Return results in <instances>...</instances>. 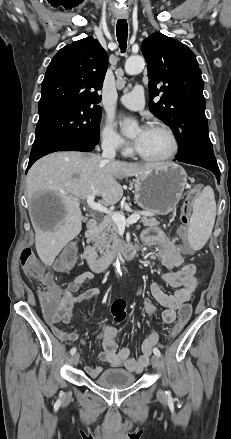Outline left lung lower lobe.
<instances>
[{"label": "left lung lower lobe", "instance_id": "1", "mask_svg": "<svg viewBox=\"0 0 231 439\" xmlns=\"http://www.w3.org/2000/svg\"><path fill=\"white\" fill-rule=\"evenodd\" d=\"M175 160L206 168L216 176L218 182L220 181V170L217 165L216 159H212L203 155L191 154L183 157H176Z\"/></svg>", "mask_w": 231, "mask_h": 439}]
</instances>
